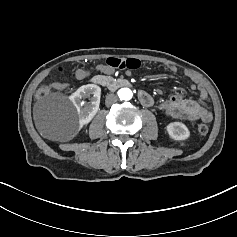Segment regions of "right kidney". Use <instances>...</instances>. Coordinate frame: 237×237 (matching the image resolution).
Segmentation results:
<instances>
[{"instance_id":"right-kidney-1","label":"right kidney","mask_w":237,"mask_h":237,"mask_svg":"<svg viewBox=\"0 0 237 237\" xmlns=\"http://www.w3.org/2000/svg\"><path fill=\"white\" fill-rule=\"evenodd\" d=\"M101 88L95 84L83 85L69 99L78 112L79 128L88 124L99 110ZM88 98L89 102L82 99Z\"/></svg>"}]
</instances>
